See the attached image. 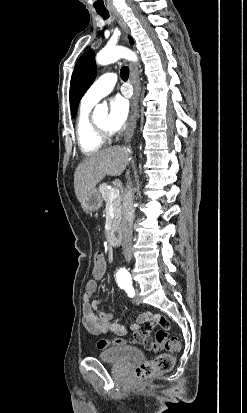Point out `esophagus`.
Here are the masks:
<instances>
[{
    "instance_id": "34e87169",
    "label": "esophagus",
    "mask_w": 247,
    "mask_h": 413,
    "mask_svg": "<svg viewBox=\"0 0 247 413\" xmlns=\"http://www.w3.org/2000/svg\"><path fill=\"white\" fill-rule=\"evenodd\" d=\"M112 15L115 17L117 20L118 24L123 30L127 29L126 24L124 23L123 18L118 12H111ZM130 82L133 85L134 93L131 99V107H130V115L128 119V124L127 128L124 134V141L129 142L131 138L133 137L134 130L136 128V122L137 119L139 118V113H138V104H139V97H140V91H141V84H140V79L138 75V68L134 63L130 64Z\"/></svg>"
}]
</instances>
